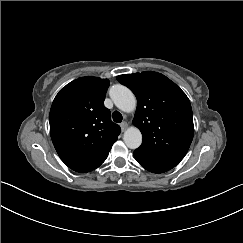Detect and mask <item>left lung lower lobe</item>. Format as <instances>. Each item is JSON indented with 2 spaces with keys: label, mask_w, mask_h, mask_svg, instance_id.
<instances>
[{
  "label": "left lung lower lobe",
  "mask_w": 243,
  "mask_h": 243,
  "mask_svg": "<svg viewBox=\"0 0 243 243\" xmlns=\"http://www.w3.org/2000/svg\"><path fill=\"white\" fill-rule=\"evenodd\" d=\"M135 159L138 161L139 164H141L146 170L152 172V173H164L166 171H169L170 169H172L173 167H169V166H164V165H160L157 163H154L153 161H151L150 159L134 152L133 153Z\"/></svg>",
  "instance_id": "0a47b994"
}]
</instances>
